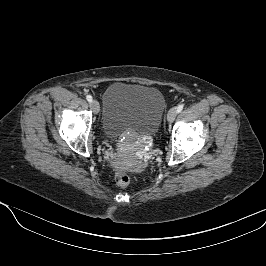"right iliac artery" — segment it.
Instances as JSON below:
<instances>
[{"label": "right iliac artery", "instance_id": "1", "mask_svg": "<svg viewBox=\"0 0 266 266\" xmlns=\"http://www.w3.org/2000/svg\"><path fill=\"white\" fill-rule=\"evenodd\" d=\"M86 99H87L88 102H92V96L91 95H87Z\"/></svg>", "mask_w": 266, "mask_h": 266}]
</instances>
